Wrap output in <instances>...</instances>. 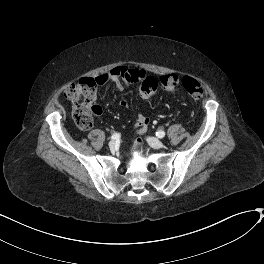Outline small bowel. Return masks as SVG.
Listing matches in <instances>:
<instances>
[{"label":"small bowel","instance_id":"c3829d8e","mask_svg":"<svg viewBox=\"0 0 264 264\" xmlns=\"http://www.w3.org/2000/svg\"><path fill=\"white\" fill-rule=\"evenodd\" d=\"M149 75L142 68L124 66L122 68H116L111 72L98 76L95 81L99 85H104L108 82H112L119 91H123L127 83H138L147 78ZM118 104L122 108H127V101L120 99ZM98 112H101V108H97ZM150 120L142 111H137L136 124L134 125L135 133H142L149 126Z\"/></svg>","mask_w":264,"mask_h":264}]
</instances>
